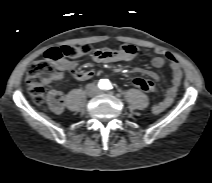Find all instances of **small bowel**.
<instances>
[{
  "label": "small bowel",
  "mask_w": 212,
  "mask_h": 183,
  "mask_svg": "<svg viewBox=\"0 0 212 183\" xmlns=\"http://www.w3.org/2000/svg\"><path fill=\"white\" fill-rule=\"evenodd\" d=\"M155 56L151 59V66L154 68H161L166 63L170 65L173 71V81L170 87L167 89L164 98L152 107V111L155 114H159L166 110L174 101L177 95L181 80L183 78V72L180 63L176 57L168 51L163 49H155ZM138 54V49L129 44L122 45L118 49H102L97 50L94 53V60L97 62H129L133 60ZM77 63L72 61H62L58 67L57 72L54 76L55 81H61L63 79V74L70 72L79 81H85L90 79L94 73L91 70H79L77 69ZM138 73L147 77L153 84L154 81H160L161 77L158 73L150 70L140 69ZM155 88V86H154ZM48 104L50 109L55 113H61L65 107L64 95L62 92L57 90H51L48 93Z\"/></svg>",
  "instance_id": "1"
}]
</instances>
